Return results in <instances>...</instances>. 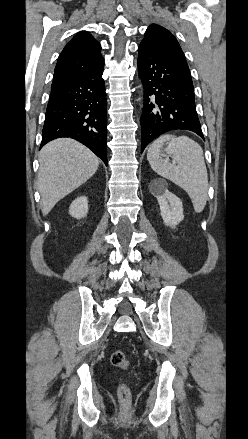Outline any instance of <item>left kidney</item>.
I'll return each mask as SVG.
<instances>
[{
	"label": "left kidney",
	"mask_w": 248,
	"mask_h": 439,
	"mask_svg": "<svg viewBox=\"0 0 248 439\" xmlns=\"http://www.w3.org/2000/svg\"><path fill=\"white\" fill-rule=\"evenodd\" d=\"M149 188L158 200L164 224L175 228L184 219L182 201L168 191L166 186H158L157 180H153Z\"/></svg>",
	"instance_id": "5707ae66"
}]
</instances>
